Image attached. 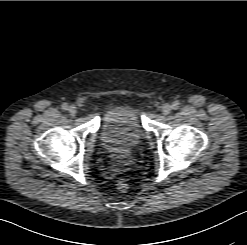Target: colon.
<instances>
[{"label": "colon", "mask_w": 247, "mask_h": 245, "mask_svg": "<svg viewBox=\"0 0 247 245\" xmlns=\"http://www.w3.org/2000/svg\"><path fill=\"white\" fill-rule=\"evenodd\" d=\"M117 189L121 192H126L129 188L128 183L124 179H119L117 181Z\"/></svg>", "instance_id": "5ec220e1"}]
</instances>
